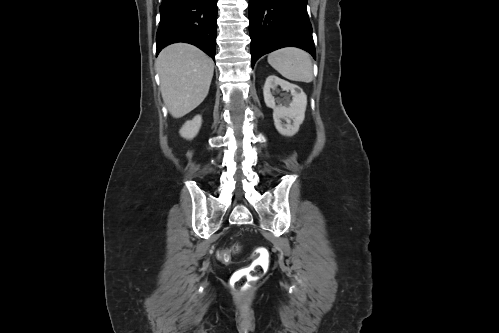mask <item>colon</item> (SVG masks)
<instances>
[{
  "instance_id": "obj_1",
  "label": "colon",
  "mask_w": 499,
  "mask_h": 333,
  "mask_svg": "<svg viewBox=\"0 0 499 333\" xmlns=\"http://www.w3.org/2000/svg\"><path fill=\"white\" fill-rule=\"evenodd\" d=\"M239 250L238 245L222 249L218 252L220 261L227 263L234 253ZM268 266V252L265 249L258 251L257 259L247 268L238 271L232 280V287L237 293L244 292L251 281L259 279L265 273Z\"/></svg>"
}]
</instances>
